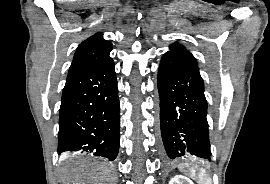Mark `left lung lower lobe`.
Returning <instances> with one entry per match:
<instances>
[{
    "mask_svg": "<svg viewBox=\"0 0 270 184\" xmlns=\"http://www.w3.org/2000/svg\"><path fill=\"white\" fill-rule=\"evenodd\" d=\"M159 145L167 164L180 158L210 161L207 101L199 68L168 51L158 70Z\"/></svg>",
    "mask_w": 270,
    "mask_h": 184,
    "instance_id": "0a47b994",
    "label": "left lung lower lobe"
}]
</instances>
